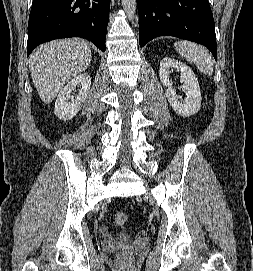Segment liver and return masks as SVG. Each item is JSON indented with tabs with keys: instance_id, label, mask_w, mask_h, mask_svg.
<instances>
[{
	"instance_id": "1",
	"label": "liver",
	"mask_w": 253,
	"mask_h": 271,
	"mask_svg": "<svg viewBox=\"0 0 253 271\" xmlns=\"http://www.w3.org/2000/svg\"><path fill=\"white\" fill-rule=\"evenodd\" d=\"M92 53L80 39H60L44 44L30 55L33 83L44 103H50L63 86L85 71Z\"/></svg>"
}]
</instances>
